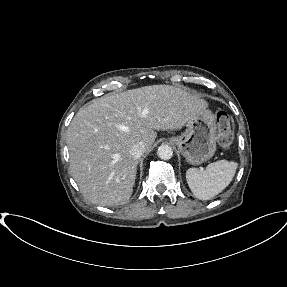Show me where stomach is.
<instances>
[{
  "label": "stomach",
  "mask_w": 287,
  "mask_h": 287,
  "mask_svg": "<svg viewBox=\"0 0 287 287\" xmlns=\"http://www.w3.org/2000/svg\"><path fill=\"white\" fill-rule=\"evenodd\" d=\"M185 132L171 137L186 161L199 165L213 157L216 151L217 125L215 116L208 109L196 112L187 122Z\"/></svg>",
  "instance_id": "obj_1"
}]
</instances>
